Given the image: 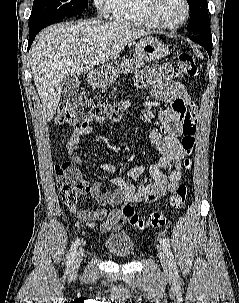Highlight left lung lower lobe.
Listing matches in <instances>:
<instances>
[{"label": "left lung lower lobe", "mask_w": 239, "mask_h": 303, "mask_svg": "<svg viewBox=\"0 0 239 303\" xmlns=\"http://www.w3.org/2000/svg\"><path fill=\"white\" fill-rule=\"evenodd\" d=\"M192 41L195 43H198L202 47H204L208 54L209 57L211 58L212 55V36L208 35H193L189 37Z\"/></svg>", "instance_id": "1"}]
</instances>
